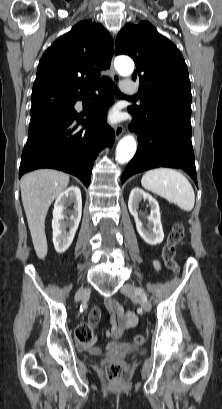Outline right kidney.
<instances>
[{
  "label": "right kidney",
  "instance_id": "obj_1",
  "mask_svg": "<svg viewBox=\"0 0 222 409\" xmlns=\"http://www.w3.org/2000/svg\"><path fill=\"white\" fill-rule=\"evenodd\" d=\"M68 201L74 202L73 210H66ZM69 214V218L67 217ZM82 215L81 191L70 186L57 197L53 210V244L58 253H64L71 245ZM65 219H67L65 221ZM69 228V231H67Z\"/></svg>",
  "mask_w": 222,
  "mask_h": 409
}]
</instances>
